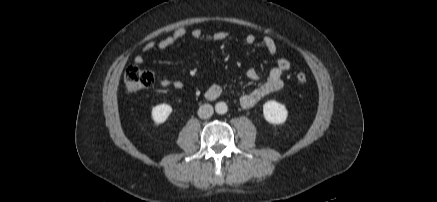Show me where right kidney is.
Listing matches in <instances>:
<instances>
[{
  "mask_svg": "<svg viewBox=\"0 0 437 202\" xmlns=\"http://www.w3.org/2000/svg\"><path fill=\"white\" fill-rule=\"evenodd\" d=\"M172 112L168 104H159L152 108V119L156 124L164 123Z\"/></svg>",
  "mask_w": 437,
  "mask_h": 202,
  "instance_id": "right-kidney-1",
  "label": "right kidney"
}]
</instances>
